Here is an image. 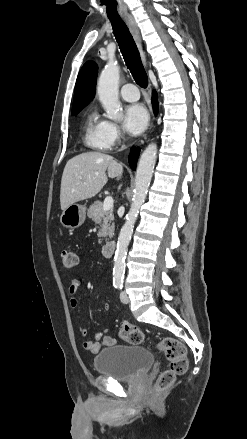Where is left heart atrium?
<instances>
[{
    "label": "left heart atrium",
    "instance_id": "1",
    "mask_svg": "<svg viewBox=\"0 0 247 439\" xmlns=\"http://www.w3.org/2000/svg\"><path fill=\"white\" fill-rule=\"evenodd\" d=\"M148 120V113L140 104L129 105L124 110L123 123L130 134L141 133L146 128Z\"/></svg>",
    "mask_w": 247,
    "mask_h": 439
}]
</instances>
